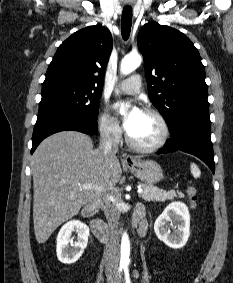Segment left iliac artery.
Masks as SVG:
<instances>
[{
	"mask_svg": "<svg viewBox=\"0 0 233 283\" xmlns=\"http://www.w3.org/2000/svg\"><path fill=\"white\" fill-rule=\"evenodd\" d=\"M124 274H125V281H126V283H131L128 267L124 268Z\"/></svg>",
	"mask_w": 233,
	"mask_h": 283,
	"instance_id": "obj_1",
	"label": "left iliac artery"
}]
</instances>
